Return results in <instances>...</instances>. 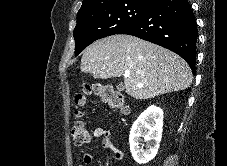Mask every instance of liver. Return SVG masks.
<instances>
[{
  "instance_id": "1",
  "label": "liver",
  "mask_w": 227,
  "mask_h": 166,
  "mask_svg": "<svg viewBox=\"0 0 227 166\" xmlns=\"http://www.w3.org/2000/svg\"><path fill=\"white\" fill-rule=\"evenodd\" d=\"M80 68L101 79L128 74L125 89L135 99L184 90L193 80L189 65L179 55L131 35L95 41L84 50Z\"/></svg>"
}]
</instances>
